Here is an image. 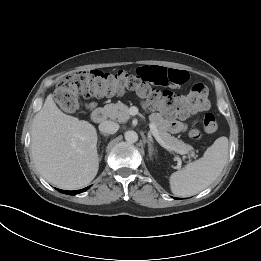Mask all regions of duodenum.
<instances>
[{
	"instance_id": "410a0bca",
	"label": "duodenum",
	"mask_w": 261,
	"mask_h": 261,
	"mask_svg": "<svg viewBox=\"0 0 261 261\" xmlns=\"http://www.w3.org/2000/svg\"><path fill=\"white\" fill-rule=\"evenodd\" d=\"M91 118L95 123H101L105 120L106 114L104 109L95 108L91 113Z\"/></svg>"
}]
</instances>
